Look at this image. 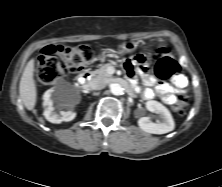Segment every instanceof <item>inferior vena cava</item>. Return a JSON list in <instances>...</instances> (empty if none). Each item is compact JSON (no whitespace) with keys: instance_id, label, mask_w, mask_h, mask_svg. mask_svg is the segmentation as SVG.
<instances>
[{"instance_id":"obj_1","label":"inferior vena cava","mask_w":222,"mask_h":187,"mask_svg":"<svg viewBox=\"0 0 222 187\" xmlns=\"http://www.w3.org/2000/svg\"><path fill=\"white\" fill-rule=\"evenodd\" d=\"M106 85H107V80L101 77H96L92 79V81L90 82V87L93 90H101L105 88Z\"/></svg>"}]
</instances>
